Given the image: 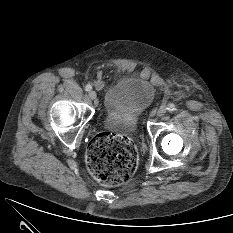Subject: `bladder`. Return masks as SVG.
Listing matches in <instances>:
<instances>
[{"mask_svg": "<svg viewBox=\"0 0 233 233\" xmlns=\"http://www.w3.org/2000/svg\"><path fill=\"white\" fill-rule=\"evenodd\" d=\"M155 87L138 75H127L105 89L102 103L108 116L120 117L130 128L138 116L152 103Z\"/></svg>", "mask_w": 233, "mask_h": 233, "instance_id": "obj_1", "label": "bladder"}]
</instances>
